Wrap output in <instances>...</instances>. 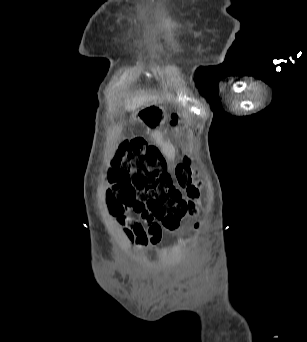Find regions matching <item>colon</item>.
<instances>
[{
  "label": "colon",
  "instance_id": "colon-1",
  "mask_svg": "<svg viewBox=\"0 0 307 342\" xmlns=\"http://www.w3.org/2000/svg\"><path fill=\"white\" fill-rule=\"evenodd\" d=\"M178 121V115L173 113L171 126L177 129ZM181 161L174 170L177 187L156 146L138 137L126 141L112 161L110 184L105 190L107 202L115 208H127L123 193L131 188L135 192V201L145 206L166 229L177 227L186 217L197 214L196 201L201 195V183L196 180L197 172L191 167V156H182ZM118 174L123 176L118 179ZM180 189L184 190L186 197L182 196ZM195 227L198 228L199 224Z\"/></svg>",
  "mask_w": 307,
  "mask_h": 342
}]
</instances>
